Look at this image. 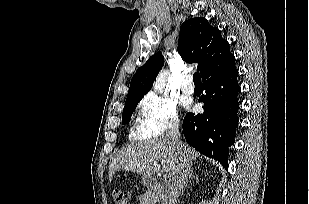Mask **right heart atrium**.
I'll use <instances>...</instances> for the list:
<instances>
[{
    "label": "right heart atrium",
    "instance_id": "1",
    "mask_svg": "<svg viewBox=\"0 0 309 204\" xmlns=\"http://www.w3.org/2000/svg\"><path fill=\"white\" fill-rule=\"evenodd\" d=\"M140 109L142 120L137 128L139 137L164 136L179 126L176 104L166 97L150 93L142 99Z\"/></svg>",
    "mask_w": 309,
    "mask_h": 204
}]
</instances>
